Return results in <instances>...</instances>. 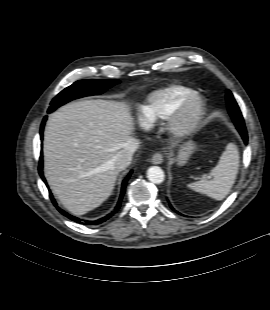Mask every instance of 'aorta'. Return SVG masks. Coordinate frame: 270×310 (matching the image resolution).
I'll return each instance as SVG.
<instances>
[{
	"mask_svg": "<svg viewBox=\"0 0 270 310\" xmlns=\"http://www.w3.org/2000/svg\"><path fill=\"white\" fill-rule=\"evenodd\" d=\"M147 177L150 182L160 184L164 181L165 175L160 167L152 166L147 170Z\"/></svg>",
	"mask_w": 270,
	"mask_h": 310,
	"instance_id": "obj_1",
	"label": "aorta"
}]
</instances>
